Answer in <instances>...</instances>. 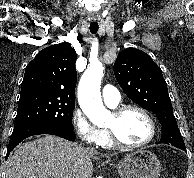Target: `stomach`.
I'll return each mask as SVG.
<instances>
[{
    "label": "stomach",
    "instance_id": "obj_1",
    "mask_svg": "<svg viewBox=\"0 0 194 178\" xmlns=\"http://www.w3.org/2000/svg\"><path fill=\"white\" fill-rule=\"evenodd\" d=\"M117 168L121 178H158L161 165L155 154L139 150L121 159Z\"/></svg>",
    "mask_w": 194,
    "mask_h": 178
}]
</instances>
